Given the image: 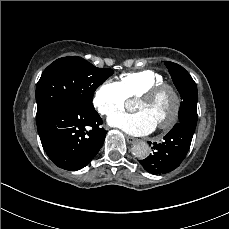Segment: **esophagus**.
I'll use <instances>...</instances> for the list:
<instances>
[{"label": "esophagus", "instance_id": "esophagus-1", "mask_svg": "<svg viewBox=\"0 0 229 229\" xmlns=\"http://www.w3.org/2000/svg\"><path fill=\"white\" fill-rule=\"evenodd\" d=\"M126 140H127V142L130 143V144H134V143H136V142L139 141V139H137V138H135V137H132V136H127V137H126Z\"/></svg>", "mask_w": 229, "mask_h": 229}]
</instances>
